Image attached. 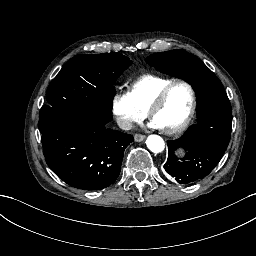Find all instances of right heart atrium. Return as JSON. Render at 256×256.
<instances>
[{"label":"right heart atrium","mask_w":256,"mask_h":256,"mask_svg":"<svg viewBox=\"0 0 256 256\" xmlns=\"http://www.w3.org/2000/svg\"><path fill=\"white\" fill-rule=\"evenodd\" d=\"M130 99H131V95L129 93L123 94L122 96H116L113 114L118 117L115 111V106L121 102H128ZM142 118H143L142 111L140 110L131 111L126 117H124V122L126 124L137 123V122H140Z\"/></svg>","instance_id":"d8ad5b80"}]
</instances>
